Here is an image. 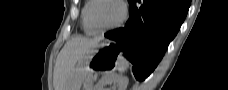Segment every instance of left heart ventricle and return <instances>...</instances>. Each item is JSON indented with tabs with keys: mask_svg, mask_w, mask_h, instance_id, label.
<instances>
[{
	"mask_svg": "<svg viewBox=\"0 0 228 90\" xmlns=\"http://www.w3.org/2000/svg\"><path fill=\"white\" fill-rule=\"evenodd\" d=\"M120 15V6L111 0L99 1L93 11L95 24L101 28L114 24Z\"/></svg>",
	"mask_w": 228,
	"mask_h": 90,
	"instance_id": "1",
	"label": "left heart ventricle"
}]
</instances>
